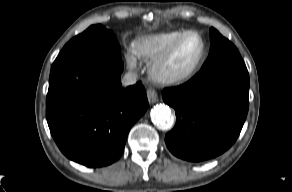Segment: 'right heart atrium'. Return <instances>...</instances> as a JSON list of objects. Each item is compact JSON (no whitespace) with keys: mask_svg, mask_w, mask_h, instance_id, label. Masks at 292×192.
<instances>
[{"mask_svg":"<svg viewBox=\"0 0 292 192\" xmlns=\"http://www.w3.org/2000/svg\"><path fill=\"white\" fill-rule=\"evenodd\" d=\"M128 64L133 67L136 64V58L133 52L128 51L125 55Z\"/></svg>","mask_w":292,"mask_h":192,"instance_id":"1","label":"right heart atrium"}]
</instances>
